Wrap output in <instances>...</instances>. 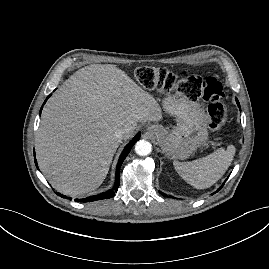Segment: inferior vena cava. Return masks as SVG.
I'll use <instances>...</instances> for the list:
<instances>
[{
    "label": "inferior vena cava",
    "mask_w": 269,
    "mask_h": 269,
    "mask_svg": "<svg viewBox=\"0 0 269 269\" xmlns=\"http://www.w3.org/2000/svg\"><path fill=\"white\" fill-rule=\"evenodd\" d=\"M126 136V129L125 128H118L116 131H115V137L122 140L123 138H125Z\"/></svg>",
    "instance_id": "obj_1"
}]
</instances>
